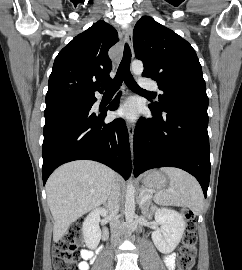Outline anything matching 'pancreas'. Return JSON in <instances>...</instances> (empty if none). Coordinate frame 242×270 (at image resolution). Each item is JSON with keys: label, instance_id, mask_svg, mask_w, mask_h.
<instances>
[{"label": "pancreas", "instance_id": "obj_1", "mask_svg": "<svg viewBox=\"0 0 242 270\" xmlns=\"http://www.w3.org/2000/svg\"><path fill=\"white\" fill-rule=\"evenodd\" d=\"M148 194V193H147ZM147 204H148V206L151 204V202L150 201H147Z\"/></svg>", "mask_w": 242, "mask_h": 270}]
</instances>
